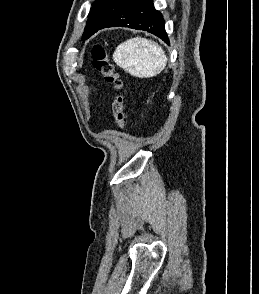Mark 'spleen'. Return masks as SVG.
<instances>
[{
    "mask_svg": "<svg viewBox=\"0 0 259 294\" xmlns=\"http://www.w3.org/2000/svg\"><path fill=\"white\" fill-rule=\"evenodd\" d=\"M113 60L121 69L138 78L156 76L167 64L165 51L156 42L140 37L118 45Z\"/></svg>",
    "mask_w": 259,
    "mask_h": 294,
    "instance_id": "1",
    "label": "spleen"
}]
</instances>
